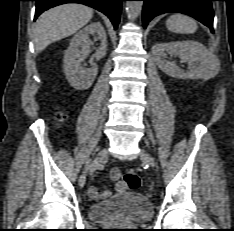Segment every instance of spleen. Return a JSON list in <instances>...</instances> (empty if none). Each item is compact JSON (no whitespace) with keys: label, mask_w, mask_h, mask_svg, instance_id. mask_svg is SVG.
Wrapping results in <instances>:
<instances>
[{"label":"spleen","mask_w":234,"mask_h":231,"mask_svg":"<svg viewBox=\"0 0 234 231\" xmlns=\"http://www.w3.org/2000/svg\"><path fill=\"white\" fill-rule=\"evenodd\" d=\"M166 26L168 30L181 34L195 33L198 28L194 19L183 14L171 15L166 21Z\"/></svg>","instance_id":"3e777b00"}]
</instances>
